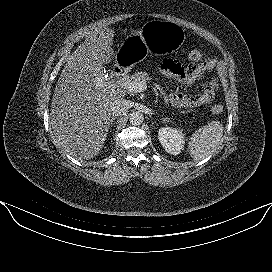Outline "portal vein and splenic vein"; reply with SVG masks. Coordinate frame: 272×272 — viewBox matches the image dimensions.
<instances>
[{
    "instance_id": "1",
    "label": "portal vein and splenic vein",
    "mask_w": 272,
    "mask_h": 272,
    "mask_svg": "<svg viewBox=\"0 0 272 272\" xmlns=\"http://www.w3.org/2000/svg\"><path fill=\"white\" fill-rule=\"evenodd\" d=\"M97 81L100 82V86L104 85L101 79L98 78ZM107 83L116 87L126 89L131 93L143 92L144 90L147 89V84L144 81L136 82L131 80H117V81L111 80Z\"/></svg>"
}]
</instances>
